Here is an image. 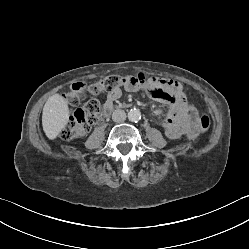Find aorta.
I'll return each mask as SVG.
<instances>
[{"instance_id": "obj_1", "label": "aorta", "mask_w": 249, "mask_h": 249, "mask_svg": "<svg viewBox=\"0 0 249 249\" xmlns=\"http://www.w3.org/2000/svg\"><path fill=\"white\" fill-rule=\"evenodd\" d=\"M128 119L131 121V122H137L141 119V112L134 108V109H131L129 112H128Z\"/></svg>"}]
</instances>
